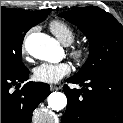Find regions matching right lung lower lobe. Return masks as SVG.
Listing matches in <instances>:
<instances>
[{
    "label": "right lung lower lobe",
    "instance_id": "1",
    "mask_svg": "<svg viewBox=\"0 0 123 123\" xmlns=\"http://www.w3.org/2000/svg\"><path fill=\"white\" fill-rule=\"evenodd\" d=\"M29 70L1 73V123H31L33 110L51 92L48 84L28 82L13 92L28 79Z\"/></svg>",
    "mask_w": 123,
    "mask_h": 123
}]
</instances>
